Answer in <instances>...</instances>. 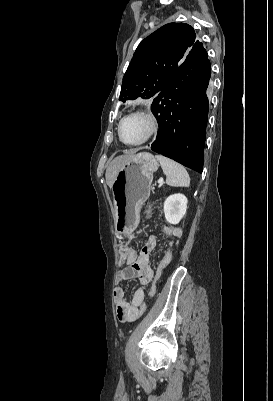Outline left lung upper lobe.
Wrapping results in <instances>:
<instances>
[{"label":"left lung upper lobe","mask_w":273,"mask_h":401,"mask_svg":"<svg viewBox=\"0 0 273 401\" xmlns=\"http://www.w3.org/2000/svg\"><path fill=\"white\" fill-rule=\"evenodd\" d=\"M194 29L169 23L146 37L137 47L123 77L119 100L155 98L196 42Z\"/></svg>","instance_id":"5c2ea615"}]
</instances>
